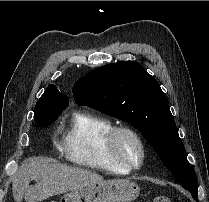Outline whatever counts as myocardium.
Masks as SVG:
<instances>
[{"label": "myocardium", "instance_id": "f54148a6", "mask_svg": "<svg viewBox=\"0 0 209 202\" xmlns=\"http://www.w3.org/2000/svg\"><path fill=\"white\" fill-rule=\"evenodd\" d=\"M121 135H129L137 142L140 149V157L138 161L134 162L128 160L119 153L117 141ZM105 150L114 163L128 170L139 169L146 158V145L142 136L136 129L128 125H116L112 127L105 140Z\"/></svg>", "mask_w": 209, "mask_h": 202}]
</instances>
